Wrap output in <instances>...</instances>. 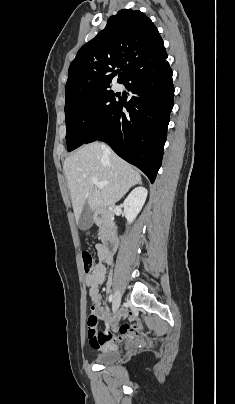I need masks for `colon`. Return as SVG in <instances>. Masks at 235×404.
<instances>
[{
	"label": "colon",
	"instance_id": "obj_1",
	"mask_svg": "<svg viewBox=\"0 0 235 404\" xmlns=\"http://www.w3.org/2000/svg\"><path fill=\"white\" fill-rule=\"evenodd\" d=\"M81 258L83 263V269L86 274H89L94 267L93 255L88 250H84L81 253ZM97 323H98V317L93 313L89 315L87 320L88 330H90V332L93 334L96 332Z\"/></svg>",
	"mask_w": 235,
	"mask_h": 404
}]
</instances>
